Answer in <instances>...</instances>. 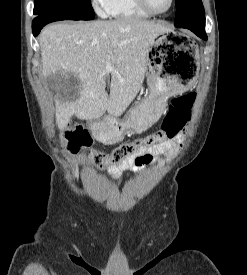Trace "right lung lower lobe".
Listing matches in <instances>:
<instances>
[{
    "label": "right lung lower lobe",
    "mask_w": 247,
    "mask_h": 275,
    "mask_svg": "<svg viewBox=\"0 0 247 275\" xmlns=\"http://www.w3.org/2000/svg\"><path fill=\"white\" fill-rule=\"evenodd\" d=\"M63 20L57 16H38L32 22L33 35L36 37L40 30L48 23Z\"/></svg>",
    "instance_id": "1"
}]
</instances>
